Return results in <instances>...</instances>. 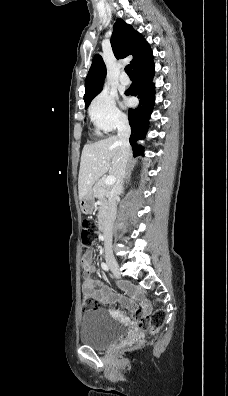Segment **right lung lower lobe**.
Returning a JSON list of instances; mask_svg holds the SVG:
<instances>
[{
	"label": "right lung lower lobe",
	"instance_id": "obj_1",
	"mask_svg": "<svg viewBox=\"0 0 228 396\" xmlns=\"http://www.w3.org/2000/svg\"><path fill=\"white\" fill-rule=\"evenodd\" d=\"M135 81L126 91L139 98V106L129 109L128 118L131 126L130 144L134 155L141 154L144 148L136 143L143 139L148 129L149 118L154 106L155 86L152 82L154 76L153 54L150 49L144 58L133 68Z\"/></svg>",
	"mask_w": 228,
	"mask_h": 396
}]
</instances>
